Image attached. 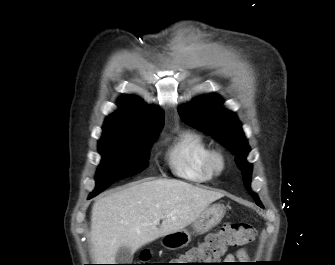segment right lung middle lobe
<instances>
[{
	"mask_svg": "<svg viewBox=\"0 0 335 265\" xmlns=\"http://www.w3.org/2000/svg\"><path fill=\"white\" fill-rule=\"evenodd\" d=\"M160 129L161 126L103 132L98 145L102 162L97 170L96 188L90 196L94 197L111 183L147 168L150 145Z\"/></svg>",
	"mask_w": 335,
	"mask_h": 265,
	"instance_id": "dd1d6c3e",
	"label": "right lung middle lobe"
}]
</instances>
